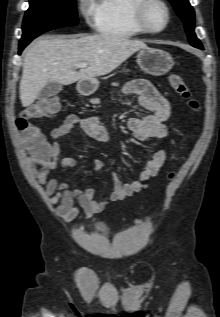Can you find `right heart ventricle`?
Here are the masks:
<instances>
[{"mask_svg":"<svg viewBox=\"0 0 220 317\" xmlns=\"http://www.w3.org/2000/svg\"><path fill=\"white\" fill-rule=\"evenodd\" d=\"M139 0H97L95 26L99 33L118 38H131L146 32L134 19Z\"/></svg>","mask_w":220,"mask_h":317,"instance_id":"right-heart-ventricle-1","label":"right heart ventricle"}]
</instances>
